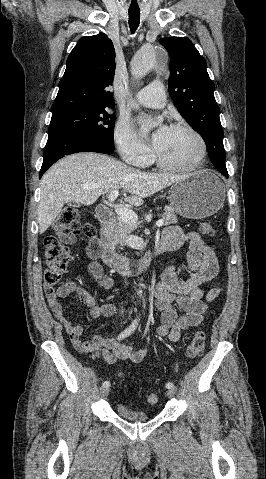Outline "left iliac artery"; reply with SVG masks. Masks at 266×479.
Listing matches in <instances>:
<instances>
[{
  "label": "left iliac artery",
  "instance_id": "left-iliac-artery-1",
  "mask_svg": "<svg viewBox=\"0 0 266 479\" xmlns=\"http://www.w3.org/2000/svg\"><path fill=\"white\" fill-rule=\"evenodd\" d=\"M174 387H175V385L173 383H171V382L166 383V388L172 389Z\"/></svg>",
  "mask_w": 266,
  "mask_h": 479
}]
</instances>
